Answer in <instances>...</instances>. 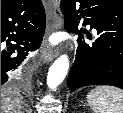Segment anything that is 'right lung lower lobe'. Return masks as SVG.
I'll return each mask as SVG.
<instances>
[{
	"label": "right lung lower lobe",
	"mask_w": 123,
	"mask_h": 113,
	"mask_svg": "<svg viewBox=\"0 0 123 113\" xmlns=\"http://www.w3.org/2000/svg\"><path fill=\"white\" fill-rule=\"evenodd\" d=\"M45 24L41 0H17L1 9V43L6 41L7 45H1V85L8 80L7 73L17 69L27 53L40 46Z\"/></svg>",
	"instance_id": "obj_1"
}]
</instances>
